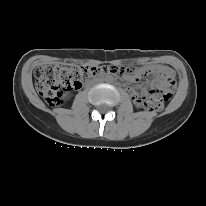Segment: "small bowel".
<instances>
[{"label":"small bowel","instance_id":"1","mask_svg":"<svg viewBox=\"0 0 206 206\" xmlns=\"http://www.w3.org/2000/svg\"><path fill=\"white\" fill-rule=\"evenodd\" d=\"M147 71L151 73L159 82L162 83L166 82V80L169 78H173V72L163 66H156ZM145 72V70H139L136 76L125 75L124 79L129 83H136L138 82V79L141 77V75ZM137 87H140V85L138 84ZM131 93L133 97L138 96V94L133 90H131Z\"/></svg>","mask_w":206,"mask_h":206}]
</instances>
